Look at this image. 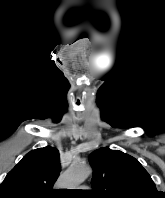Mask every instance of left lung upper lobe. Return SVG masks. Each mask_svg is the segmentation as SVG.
<instances>
[{"instance_id": "1", "label": "left lung upper lobe", "mask_w": 165, "mask_h": 198, "mask_svg": "<svg viewBox=\"0 0 165 198\" xmlns=\"http://www.w3.org/2000/svg\"><path fill=\"white\" fill-rule=\"evenodd\" d=\"M91 180L97 198H158L148 172L134 157L102 147L89 156Z\"/></svg>"}]
</instances>
